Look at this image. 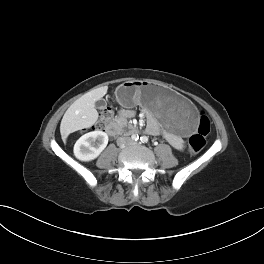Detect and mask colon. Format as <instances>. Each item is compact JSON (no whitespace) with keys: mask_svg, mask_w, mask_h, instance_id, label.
Returning <instances> with one entry per match:
<instances>
[{"mask_svg":"<svg viewBox=\"0 0 264 264\" xmlns=\"http://www.w3.org/2000/svg\"><path fill=\"white\" fill-rule=\"evenodd\" d=\"M113 117L112 107L107 104L100 111L98 125L102 126L108 123ZM210 121L207 116L203 113L200 115L196 132L191 136L189 140L190 149L193 153H198L201 151L206 144V137L210 131Z\"/></svg>","mask_w":264,"mask_h":264,"instance_id":"colon-1","label":"colon"}]
</instances>
